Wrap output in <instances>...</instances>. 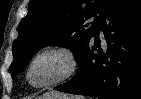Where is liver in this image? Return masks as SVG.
Wrapping results in <instances>:
<instances>
[{"label":"liver","instance_id":"6515ba94","mask_svg":"<svg viewBox=\"0 0 141 99\" xmlns=\"http://www.w3.org/2000/svg\"><path fill=\"white\" fill-rule=\"evenodd\" d=\"M44 97H47L49 99H70L68 95L62 94L59 92H51V93L45 94Z\"/></svg>","mask_w":141,"mask_h":99}]
</instances>
